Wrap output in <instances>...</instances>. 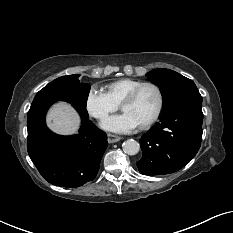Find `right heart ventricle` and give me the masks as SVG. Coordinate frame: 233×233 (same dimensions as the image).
<instances>
[{"instance_id":"right-heart-ventricle-1","label":"right heart ventricle","mask_w":233,"mask_h":233,"mask_svg":"<svg viewBox=\"0 0 233 233\" xmlns=\"http://www.w3.org/2000/svg\"><path fill=\"white\" fill-rule=\"evenodd\" d=\"M142 83L139 80L122 78L109 83L106 86V94L116 104H120L124 97L137 85Z\"/></svg>"}]
</instances>
